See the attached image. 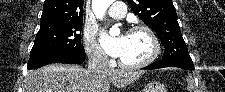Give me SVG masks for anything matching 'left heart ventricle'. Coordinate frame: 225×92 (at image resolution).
<instances>
[{
	"label": "left heart ventricle",
	"instance_id": "obj_1",
	"mask_svg": "<svg viewBox=\"0 0 225 92\" xmlns=\"http://www.w3.org/2000/svg\"><path fill=\"white\" fill-rule=\"evenodd\" d=\"M152 42L145 32L126 33L120 59L125 63H138L150 56Z\"/></svg>",
	"mask_w": 225,
	"mask_h": 92
}]
</instances>
